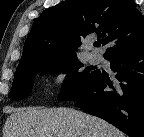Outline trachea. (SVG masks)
<instances>
[{"label":"trachea","mask_w":144,"mask_h":137,"mask_svg":"<svg viewBox=\"0 0 144 137\" xmlns=\"http://www.w3.org/2000/svg\"><path fill=\"white\" fill-rule=\"evenodd\" d=\"M100 43H101L100 41L95 42V43H94V46L99 47V46H100Z\"/></svg>","instance_id":"1"}]
</instances>
